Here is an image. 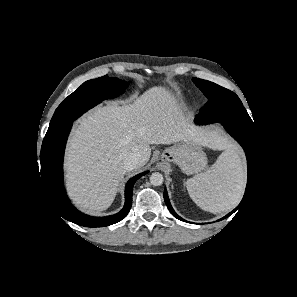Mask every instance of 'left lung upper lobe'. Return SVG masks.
<instances>
[{"label":"left lung upper lobe","mask_w":297,"mask_h":297,"mask_svg":"<svg viewBox=\"0 0 297 297\" xmlns=\"http://www.w3.org/2000/svg\"><path fill=\"white\" fill-rule=\"evenodd\" d=\"M193 82L208 98V102L195 118L198 123L228 121L255 131L254 122L234 92L199 78H193Z\"/></svg>","instance_id":"1"}]
</instances>
